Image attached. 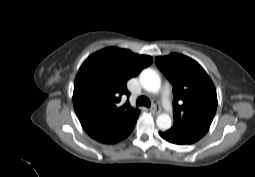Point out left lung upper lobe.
Here are the masks:
<instances>
[{
	"label": "left lung upper lobe",
	"mask_w": 255,
	"mask_h": 177,
	"mask_svg": "<svg viewBox=\"0 0 255 177\" xmlns=\"http://www.w3.org/2000/svg\"><path fill=\"white\" fill-rule=\"evenodd\" d=\"M155 62L173 85L174 124L170 129L192 142L208 131L217 109L214 84L193 59L172 53Z\"/></svg>",
	"instance_id": "obj_1"
}]
</instances>
